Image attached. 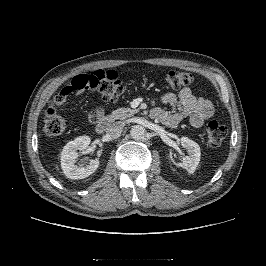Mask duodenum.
<instances>
[{
	"mask_svg": "<svg viewBox=\"0 0 266 266\" xmlns=\"http://www.w3.org/2000/svg\"><path fill=\"white\" fill-rule=\"evenodd\" d=\"M149 116L159 121L165 117L164 113L159 109H152L149 112ZM91 122L94 123L96 132L101 135L105 134L111 125V121L107 117L97 116L96 113L91 114Z\"/></svg>",
	"mask_w": 266,
	"mask_h": 266,
	"instance_id": "obj_1",
	"label": "duodenum"
}]
</instances>
